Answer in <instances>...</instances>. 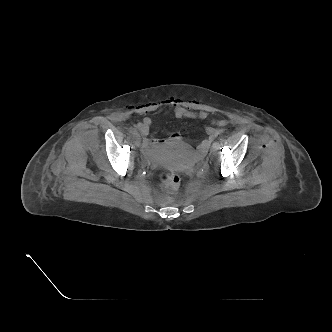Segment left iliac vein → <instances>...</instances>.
<instances>
[{"instance_id":"obj_1","label":"left iliac vein","mask_w":332,"mask_h":332,"mask_svg":"<svg viewBox=\"0 0 332 332\" xmlns=\"http://www.w3.org/2000/svg\"><path fill=\"white\" fill-rule=\"evenodd\" d=\"M216 151H217V148H216L215 146H212V148H211V153H212V154H215Z\"/></svg>"}]
</instances>
